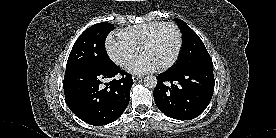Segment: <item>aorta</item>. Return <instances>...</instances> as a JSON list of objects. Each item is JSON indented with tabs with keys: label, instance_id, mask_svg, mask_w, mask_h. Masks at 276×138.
<instances>
[{
	"label": "aorta",
	"instance_id": "aorta-1",
	"mask_svg": "<svg viewBox=\"0 0 276 138\" xmlns=\"http://www.w3.org/2000/svg\"><path fill=\"white\" fill-rule=\"evenodd\" d=\"M144 85L148 88H155L157 85V78L153 75H148L144 78Z\"/></svg>",
	"mask_w": 276,
	"mask_h": 138
}]
</instances>
